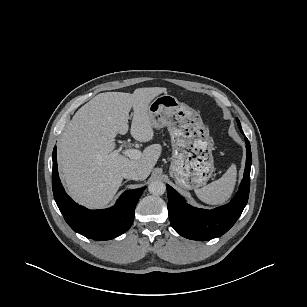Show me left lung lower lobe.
Instances as JSON below:
<instances>
[{
    "instance_id": "obj_1",
    "label": "left lung lower lobe",
    "mask_w": 307,
    "mask_h": 307,
    "mask_svg": "<svg viewBox=\"0 0 307 307\" xmlns=\"http://www.w3.org/2000/svg\"><path fill=\"white\" fill-rule=\"evenodd\" d=\"M245 142L247 154L244 176L230 203L212 210L198 209L187 204L176 190L167 185L169 218L178 234L192 240H210L223 235L235 224L247 204L250 190L252 155L247 138Z\"/></svg>"
}]
</instances>
